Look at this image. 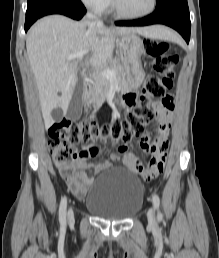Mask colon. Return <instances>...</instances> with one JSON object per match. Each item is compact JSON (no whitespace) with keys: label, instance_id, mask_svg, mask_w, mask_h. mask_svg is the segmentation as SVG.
I'll return each instance as SVG.
<instances>
[{"label":"colon","instance_id":"colon-1","mask_svg":"<svg viewBox=\"0 0 219 258\" xmlns=\"http://www.w3.org/2000/svg\"><path fill=\"white\" fill-rule=\"evenodd\" d=\"M145 54L151 59L157 77L149 78L143 87L138 102L124 120L109 124L93 121H71L63 119L49 128L48 147L61 176L69 179L74 175L75 162L81 157L92 156L95 151L78 150V145L111 141L128 143L135 136H144L145 127L155 119L153 101L163 99L171 88L179 63L171 45L147 39L144 41Z\"/></svg>","mask_w":219,"mask_h":258}]
</instances>
